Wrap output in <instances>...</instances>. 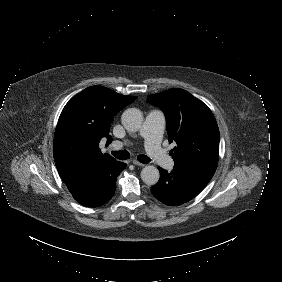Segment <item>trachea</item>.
I'll return each mask as SVG.
<instances>
[{
	"label": "trachea",
	"instance_id": "1",
	"mask_svg": "<svg viewBox=\"0 0 282 282\" xmlns=\"http://www.w3.org/2000/svg\"><path fill=\"white\" fill-rule=\"evenodd\" d=\"M111 154L119 160H127L130 158V153L127 150L111 151ZM137 160L144 164H148L151 161V159L144 154L138 155Z\"/></svg>",
	"mask_w": 282,
	"mask_h": 282
}]
</instances>
